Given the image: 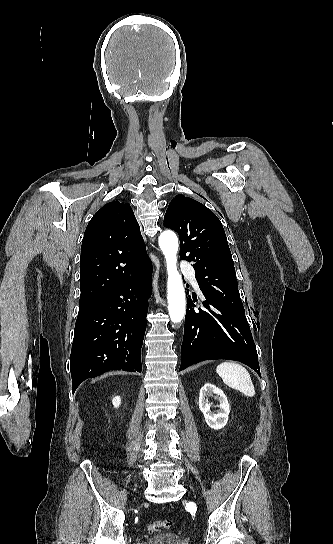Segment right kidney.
<instances>
[{
    "label": "right kidney",
    "mask_w": 333,
    "mask_h": 544,
    "mask_svg": "<svg viewBox=\"0 0 333 544\" xmlns=\"http://www.w3.org/2000/svg\"><path fill=\"white\" fill-rule=\"evenodd\" d=\"M112 403L115 408H118L121 403V398L119 396L114 397Z\"/></svg>",
    "instance_id": "obj_1"
}]
</instances>
